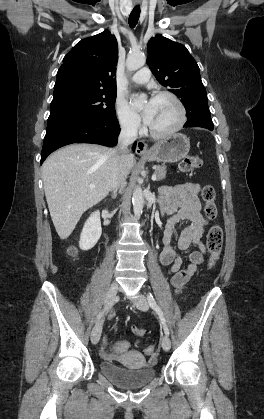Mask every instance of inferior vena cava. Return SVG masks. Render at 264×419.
I'll list each match as a JSON object with an SVG mask.
<instances>
[{"label": "inferior vena cava", "mask_w": 264, "mask_h": 419, "mask_svg": "<svg viewBox=\"0 0 264 419\" xmlns=\"http://www.w3.org/2000/svg\"><path fill=\"white\" fill-rule=\"evenodd\" d=\"M138 124L134 121L124 122L121 126V132L118 137V144L113 149L112 160V186L113 194L119 189L122 192L126 186V176L123 161L128 152V146L137 139Z\"/></svg>", "instance_id": "inferior-vena-cava-1"}]
</instances>
